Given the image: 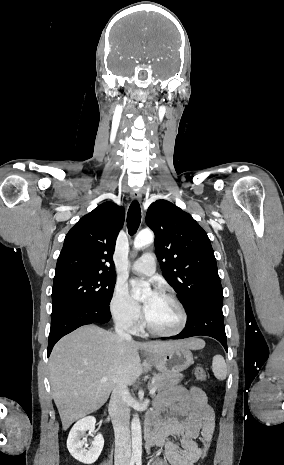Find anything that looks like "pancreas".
I'll return each mask as SVG.
<instances>
[{"instance_id": "cf45deb5", "label": "pancreas", "mask_w": 284, "mask_h": 465, "mask_svg": "<svg viewBox=\"0 0 284 465\" xmlns=\"http://www.w3.org/2000/svg\"><path fill=\"white\" fill-rule=\"evenodd\" d=\"M181 379H183V375L178 371H174V373H158L153 379L154 383H149L148 389H156V393L168 391V389L178 385Z\"/></svg>"}]
</instances>
